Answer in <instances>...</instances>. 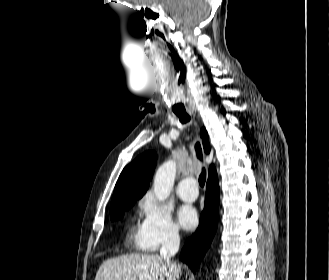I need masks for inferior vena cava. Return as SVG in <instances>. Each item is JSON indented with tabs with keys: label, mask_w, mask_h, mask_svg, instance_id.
Here are the masks:
<instances>
[{
	"label": "inferior vena cava",
	"mask_w": 329,
	"mask_h": 280,
	"mask_svg": "<svg viewBox=\"0 0 329 280\" xmlns=\"http://www.w3.org/2000/svg\"><path fill=\"white\" fill-rule=\"evenodd\" d=\"M180 245V238L177 230L170 229L162 241V246L160 249V256L164 261L173 266L177 267L171 258L178 252Z\"/></svg>",
	"instance_id": "1"
}]
</instances>
